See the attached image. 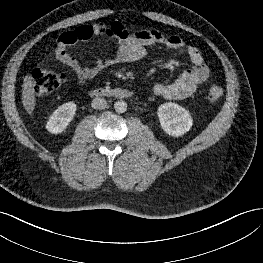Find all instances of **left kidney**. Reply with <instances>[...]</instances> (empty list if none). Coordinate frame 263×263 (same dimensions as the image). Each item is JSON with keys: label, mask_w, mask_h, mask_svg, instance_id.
I'll list each match as a JSON object with an SVG mask.
<instances>
[{"label": "left kidney", "mask_w": 263, "mask_h": 263, "mask_svg": "<svg viewBox=\"0 0 263 263\" xmlns=\"http://www.w3.org/2000/svg\"><path fill=\"white\" fill-rule=\"evenodd\" d=\"M157 114L164 132L173 137L184 135L193 125L189 111L176 103L160 105Z\"/></svg>", "instance_id": "left-kidney-1"}]
</instances>
